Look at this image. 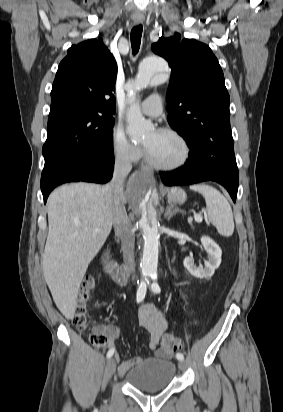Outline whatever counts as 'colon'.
Returning a JSON list of instances; mask_svg holds the SVG:
<instances>
[{"label": "colon", "instance_id": "5ec220e1", "mask_svg": "<svg viewBox=\"0 0 283 412\" xmlns=\"http://www.w3.org/2000/svg\"><path fill=\"white\" fill-rule=\"evenodd\" d=\"M94 284V277L88 276L84 287L79 291L73 312L71 314L72 323L75 327L83 331L87 326L88 304L91 300V288ZM90 342L95 347H103L107 343V335L99 328L94 330L90 337ZM182 349V342L173 335H166L161 342V351L167 356L172 352Z\"/></svg>", "mask_w": 283, "mask_h": 412}]
</instances>
